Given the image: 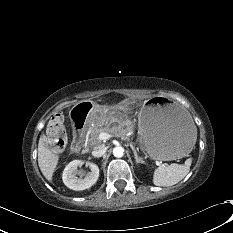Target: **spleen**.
Instances as JSON below:
<instances>
[{
  "label": "spleen",
  "mask_w": 233,
  "mask_h": 233,
  "mask_svg": "<svg viewBox=\"0 0 233 233\" xmlns=\"http://www.w3.org/2000/svg\"><path fill=\"white\" fill-rule=\"evenodd\" d=\"M191 158L185 161L184 165L172 163L159 166L153 175V183L156 186H172L180 182L189 172Z\"/></svg>",
  "instance_id": "obj_1"
}]
</instances>
